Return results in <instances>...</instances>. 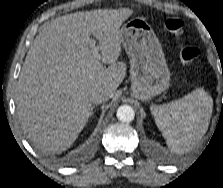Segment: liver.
<instances>
[{
  "mask_svg": "<svg viewBox=\"0 0 223 188\" xmlns=\"http://www.w3.org/2000/svg\"><path fill=\"white\" fill-rule=\"evenodd\" d=\"M127 8L81 11L46 24L34 39L21 69L15 101L27 138L42 150L69 148L90 116L91 92L114 96L126 75L120 26ZM90 35L98 40L99 59L91 53ZM109 64L104 68L101 62Z\"/></svg>",
  "mask_w": 223,
  "mask_h": 188,
  "instance_id": "liver-1",
  "label": "liver"
}]
</instances>
